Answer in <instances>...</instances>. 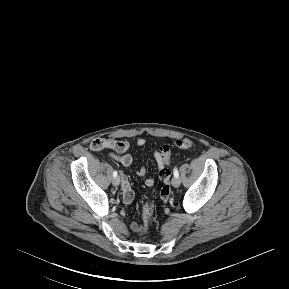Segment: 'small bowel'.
<instances>
[{"label": "small bowel", "instance_id": "c3829d8e", "mask_svg": "<svg viewBox=\"0 0 289 289\" xmlns=\"http://www.w3.org/2000/svg\"><path fill=\"white\" fill-rule=\"evenodd\" d=\"M146 144V140L144 138H139L136 141V145L141 147ZM90 147L92 150H107L109 151V155L112 159L120 162L123 166L129 167L133 163V158L130 155V147L131 143L126 140L116 139V138H96L94 139ZM154 158L158 164V171L160 173L159 180L164 182L162 189L160 190V197L163 203H166L170 199V191H171V171L166 168V166L161 165L160 152L159 150L154 152ZM146 169L145 167H141L138 170V175H145ZM122 179V190H123V202L126 205H129L134 199V193L131 188L128 177L125 174H121ZM156 184V180L154 178H149L146 181V185L149 187H153ZM162 212L165 210L163 207L160 209ZM130 228L132 231L137 233L144 232L145 228L143 226L138 225L135 222L130 224Z\"/></svg>", "mask_w": 289, "mask_h": 289}]
</instances>
